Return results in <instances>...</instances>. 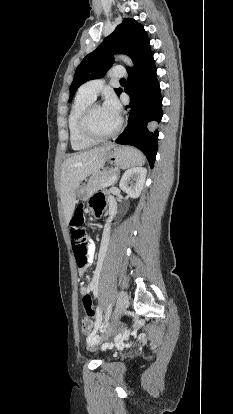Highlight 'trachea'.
I'll list each match as a JSON object with an SVG mask.
<instances>
[{"label":"trachea","mask_w":233,"mask_h":414,"mask_svg":"<svg viewBox=\"0 0 233 414\" xmlns=\"http://www.w3.org/2000/svg\"><path fill=\"white\" fill-rule=\"evenodd\" d=\"M120 82H121V83H123V82H126V80H125L124 78H122V79L120 80Z\"/></svg>","instance_id":"obj_1"}]
</instances>
